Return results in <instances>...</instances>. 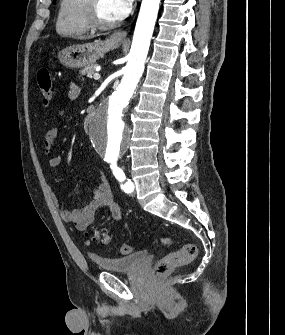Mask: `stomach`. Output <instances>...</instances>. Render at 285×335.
Returning <instances> with one entry per match:
<instances>
[{
	"label": "stomach",
	"instance_id": "0dacf381",
	"mask_svg": "<svg viewBox=\"0 0 285 335\" xmlns=\"http://www.w3.org/2000/svg\"><path fill=\"white\" fill-rule=\"evenodd\" d=\"M121 46V42L103 40V42H92V44H82V46H69L58 54V58L66 68H84L95 64L96 60L103 58L110 50H115Z\"/></svg>",
	"mask_w": 285,
	"mask_h": 335
}]
</instances>
